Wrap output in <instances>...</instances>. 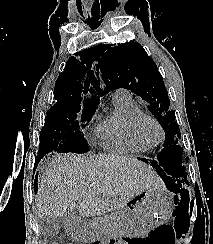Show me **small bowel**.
Instances as JSON below:
<instances>
[{
	"mask_svg": "<svg viewBox=\"0 0 213 244\" xmlns=\"http://www.w3.org/2000/svg\"><path fill=\"white\" fill-rule=\"evenodd\" d=\"M113 244H127V241L125 238H122L120 240L113 241Z\"/></svg>",
	"mask_w": 213,
	"mask_h": 244,
	"instance_id": "c3829d8e",
	"label": "small bowel"
}]
</instances>
